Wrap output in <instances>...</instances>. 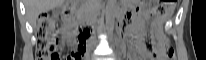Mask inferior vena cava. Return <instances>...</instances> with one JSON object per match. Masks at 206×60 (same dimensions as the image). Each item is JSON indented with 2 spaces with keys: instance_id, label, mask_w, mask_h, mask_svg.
<instances>
[{
  "instance_id": "inferior-vena-cava-1",
  "label": "inferior vena cava",
  "mask_w": 206,
  "mask_h": 60,
  "mask_svg": "<svg viewBox=\"0 0 206 60\" xmlns=\"http://www.w3.org/2000/svg\"><path fill=\"white\" fill-rule=\"evenodd\" d=\"M90 20H91L93 23H95V22L97 21L96 13H95V12L91 13V15H90Z\"/></svg>"
}]
</instances>
